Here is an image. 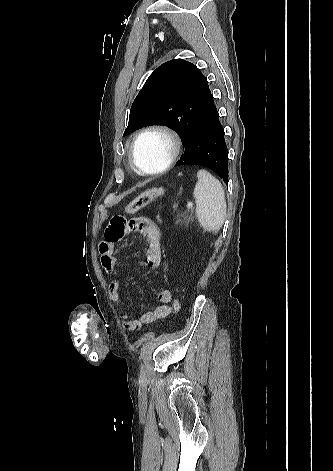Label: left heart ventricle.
<instances>
[{"label":"left heart ventricle","instance_id":"b2bd125f","mask_svg":"<svg viewBox=\"0 0 333 471\" xmlns=\"http://www.w3.org/2000/svg\"><path fill=\"white\" fill-rule=\"evenodd\" d=\"M171 151L170 142L161 133L152 132L144 135L135 148V159L140 167L153 171L162 167Z\"/></svg>","mask_w":333,"mask_h":471}]
</instances>
